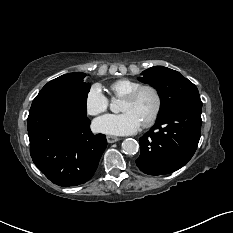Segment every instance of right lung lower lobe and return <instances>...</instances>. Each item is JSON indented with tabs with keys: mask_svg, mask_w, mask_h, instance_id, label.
Returning <instances> with one entry per match:
<instances>
[{
	"mask_svg": "<svg viewBox=\"0 0 233 233\" xmlns=\"http://www.w3.org/2000/svg\"><path fill=\"white\" fill-rule=\"evenodd\" d=\"M86 115L66 106H44L27 119L30 154L54 184L76 186L96 171L107 146L105 135H93Z\"/></svg>",
	"mask_w": 233,
	"mask_h": 233,
	"instance_id": "right-lung-lower-lobe-1",
	"label": "right lung lower lobe"
}]
</instances>
